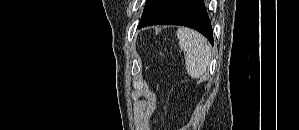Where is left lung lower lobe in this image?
<instances>
[{
	"instance_id": "left-lung-lower-lobe-1",
	"label": "left lung lower lobe",
	"mask_w": 299,
	"mask_h": 130,
	"mask_svg": "<svg viewBox=\"0 0 299 130\" xmlns=\"http://www.w3.org/2000/svg\"><path fill=\"white\" fill-rule=\"evenodd\" d=\"M182 25L197 30L213 45V30L203 0H152L138 28Z\"/></svg>"
}]
</instances>
